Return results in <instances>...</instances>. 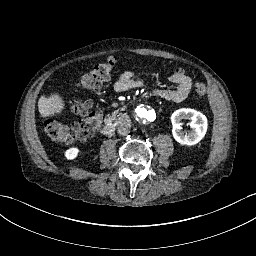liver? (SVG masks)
<instances>
[{
	"label": "liver",
	"mask_w": 256,
	"mask_h": 256,
	"mask_svg": "<svg viewBox=\"0 0 256 256\" xmlns=\"http://www.w3.org/2000/svg\"><path fill=\"white\" fill-rule=\"evenodd\" d=\"M65 104L58 94H53L49 98L41 96L38 100V110L42 117H49L55 113H60Z\"/></svg>",
	"instance_id": "1"
}]
</instances>
